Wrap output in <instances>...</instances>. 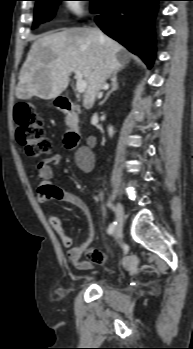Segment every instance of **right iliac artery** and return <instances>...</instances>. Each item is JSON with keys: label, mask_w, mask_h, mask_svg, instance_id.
I'll use <instances>...</instances> for the list:
<instances>
[{"label": "right iliac artery", "mask_w": 193, "mask_h": 349, "mask_svg": "<svg viewBox=\"0 0 193 349\" xmlns=\"http://www.w3.org/2000/svg\"><path fill=\"white\" fill-rule=\"evenodd\" d=\"M107 205L114 210V207L111 205V203H108ZM116 224H117L116 222H113L112 224L109 225V227H108L109 234H112L114 232Z\"/></svg>", "instance_id": "1"}]
</instances>
